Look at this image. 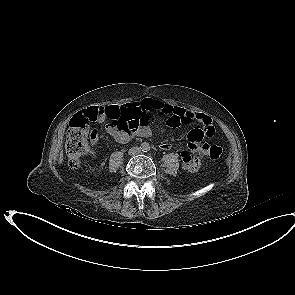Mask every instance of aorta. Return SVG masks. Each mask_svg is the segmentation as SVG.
Returning <instances> with one entry per match:
<instances>
[{
    "label": "aorta",
    "mask_w": 295,
    "mask_h": 295,
    "mask_svg": "<svg viewBox=\"0 0 295 295\" xmlns=\"http://www.w3.org/2000/svg\"><path fill=\"white\" fill-rule=\"evenodd\" d=\"M142 149H143L144 151H148V150H150V145H149V143H143V144H142Z\"/></svg>",
    "instance_id": "1"
}]
</instances>
